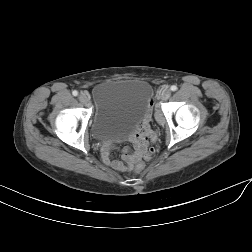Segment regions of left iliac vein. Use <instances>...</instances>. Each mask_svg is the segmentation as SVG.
Here are the masks:
<instances>
[{"instance_id": "4c4485c4", "label": "left iliac vein", "mask_w": 252, "mask_h": 252, "mask_svg": "<svg viewBox=\"0 0 252 252\" xmlns=\"http://www.w3.org/2000/svg\"><path fill=\"white\" fill-rule=\"evenodd\" d=\"M171 96V91L169 89H164L161 94H160V98L162 100H167L169 97Z\"/></svg>"}]
</instances>
